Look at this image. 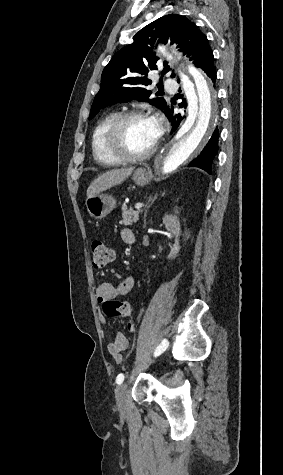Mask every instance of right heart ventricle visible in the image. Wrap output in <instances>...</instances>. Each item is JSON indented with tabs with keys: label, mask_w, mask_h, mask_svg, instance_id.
Listing matches in <instances>:
<instances>
[{
	"label": "right heart ventricle",
	"mask_w": 283,
	"mask_h": 475,
	"mask_svg": "<svg viewBox=\"0 0 283 475\" xmlns=\"http://www.w3.org/2000/svg\"><path fill=\"white\" fill-rule=\"evenodd\" d=\"M119 115L120 113L117 111L109 112L97 122L92 131L91 148L93 156L98 162H104L102 159L103 155L108 156L107 150L102 151V146L109 127Z\"/></svg>",
	"instance_id": "e07e8e85"
}]
</instances>
